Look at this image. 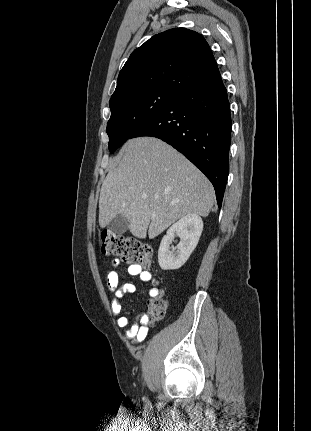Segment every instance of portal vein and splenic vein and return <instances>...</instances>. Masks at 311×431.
<instances>
[{"label":"portal vein and splenic vein","instance_id":"1","mask_svg":"<svg viewBox=\"0 0 311 431\" xmlns=\"http://www.w3.org/2000/svg\"><path fill=\"white\" fill-rule=\"evenodd\" d=\"M143 200H147V196H142Z\"/></svg>","mask_w":311,"mask_h":431}]
</instances>
